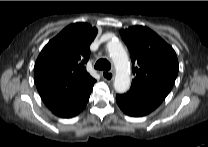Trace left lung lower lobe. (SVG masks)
Instances as JSON below:
<instances>
[{
    "mask_svg": "<svg viewBox=\"0 0 208 147\" xmlns=\"http://www.w3.org/2000/svg\"><path fill=\"white\" fill-rule=\"evenodd\" d=\"M164 100L159 95L149 91L131 87L126 94L116 95V101L121 110L134 117L149 114L156 109Z\"/></svg>",
    "mask_w": 208,
    "mask_h": 147,
    "instance_id": "0a47b994",
    "label": "left lung lower lobe"
}]
</instances>
